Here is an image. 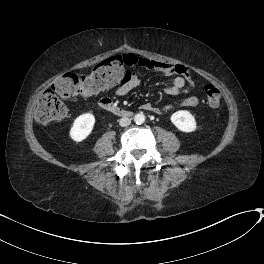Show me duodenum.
Masks as SVG:
<instances>
[{"instance_id": "410a0bca", "label": "duodenum", "mask_w": 264, "mask_h": 264, "mask_svg": "<svg viewBox=\"0 0 264 264\" xmlns=\"http://www.w3.org/2000/svg\"><path fill=\"white\" fill-rule=\"evenodd\" d=\"M98 105L102 110H106L118 116L126 117L130 115V111L128 109L115 105L110 99L107 98L101 99Z\"/></svg>"}]
</instances>
